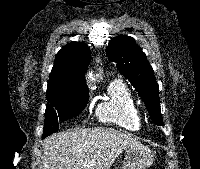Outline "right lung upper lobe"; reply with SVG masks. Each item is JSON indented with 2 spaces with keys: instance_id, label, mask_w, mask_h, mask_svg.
Here are the masks:
<instances>
[{
  "instance_id": "cb5924a9",
  "label": "right lung upper lobe",
  "mask_w": 200,
  "mask_h": 169,
  "mask_svg": "<svg viewBox=\"0 0 200 169\" xmlns=\"http://www.w3.org/2000/svg\"><path fill=\"white\" fill-rule=\"evenodd\" d=\"M90 59V48L83 42H72L62 47L50 74L47 99L88 92L84 74Z\"/></svg>"
}]
</instances>
